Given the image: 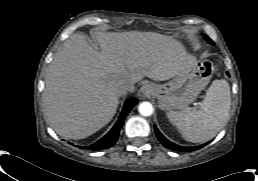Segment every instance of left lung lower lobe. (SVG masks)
Here are the masks:
<instances>
[{
	"mask_svg": "<svg viewBox=\"0 0 258 181\" xmlns=\"http://www.w3.org/2000/svg\"><path fill=\"white\" fill-rule=\"evenodd\" d=\"M154 129H155L156 136H157L158 140H159L166 148H169V149H172V150H175V151H179V150H182V151H192V150H196V149H199V148H201V147L204 146V145L197 146V147H181V146H178L177 144L172 143V142H170L168 139H166V138L159 132V130L157 129L156 126H154Z\"/></svg>",
	"mask_w": 258,
	"mask_h": 181,
	"instance_id": "left-lung-lower-lobe-1",
	"label": "left lung lower lobe"
}]
</instances>
